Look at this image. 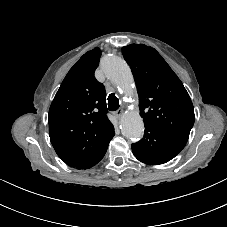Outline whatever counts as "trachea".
Masks as SVG:
<instances>
[{"label": "trachea", "instance_id": "obj_1", "mask_svg": "<svg viewBox=\"0 0 227 227\" xmlns=\"http://www.w3.org/2000/svg\"><path fill=\"white\" fill-rule=\"evenodd\" d=\"M108 108L110 111H116L119 108V100L114 94L108 96Z\"/></svg>", "mask_w": 227, "mask_h": 227}]
</instances>
